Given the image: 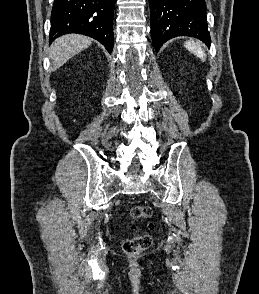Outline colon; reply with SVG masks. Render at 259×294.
I'll use <instances>...</instances> for the list:
<instances>
[{
	"instance_id": "5ec220e1",
	"label": "colon",
	"mask_w": 259,
	"mask_h": 294,
	"mask_svg": "<svg viewBox=\"0 0 259 294\" xmlns=\"http://www.w3.org/2000/svg\"><path fill=\"white\" fill-rule=\"evenodd\" d=\"M152 214V210L148 206L138 205L130 210L133 219L143 221L148 219ZM135 229L136 227L133 226ZM152 244V237L149 234L136 235L126 239L123 243V250L126 254L136 255L148 249Z\"/></svg>"
}]
</instances>
